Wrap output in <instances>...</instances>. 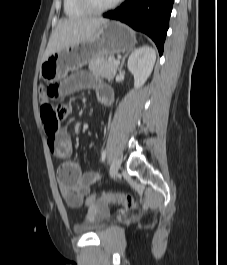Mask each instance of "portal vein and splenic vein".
<instances>
[{"instance_id":"18ae733b","label":"portal vein and splenic vein","mask_w":227,"mask_h":265,"mask_svg":"<svg viewBox=\"0 0 227 265\" xmlns=\"http://www.w3.org/2000/svg\"><path fill=\"white\" fill-rule=\"evenodd\" d=\"M115 65H119V60H115Z\"/></svg>"}]
</instances>
